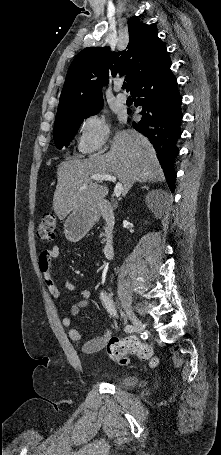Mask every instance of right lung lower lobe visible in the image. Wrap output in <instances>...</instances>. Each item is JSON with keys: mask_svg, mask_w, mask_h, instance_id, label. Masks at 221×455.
Instances as JSON below:
<instances>
[{"mask_svg": "<svg viewBox=\"0 0 221 455\" xmlns=\"http://www.w3.org/2000/svg\"><path fill=\"white\" fill-rule=\"evenodd\" d=\"M170 66L171 60L165 50L134 84L131 95L135 106H142V119L138 123L134 122L133 126L153 144L168 186L173 192L176 178L174 160L179 153L177 143L181 137L183 114L182 97Z\"/></svg>", "mask_w": 221, "mask_h": 455, "instance_id": "1", "label": "right lung lower lobe"}]
</instances>
